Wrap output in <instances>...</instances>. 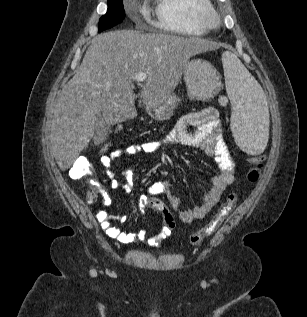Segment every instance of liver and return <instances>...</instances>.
I'll use <instances>...</instances> for the list:
<instances>
[{"label": "liver", "instance_id": "liver-1", "mask_svg": "<svg viewBox=\"0 0 307 317\" xmlns=\"http://www.w3.org/2000/svg\"><path fill=\"white\" fill-rule=\"evenodd\" d=\"M218 45L198 37L115 30L96 36L74 77L63 87L51 126V152L62 171L94 135L99 113L109 125L136 116L133 81L147 73L144 103L172 96L189 58Z\"/></svg>", "mask_w": 307, "mask_h": 317}]
</instances>
